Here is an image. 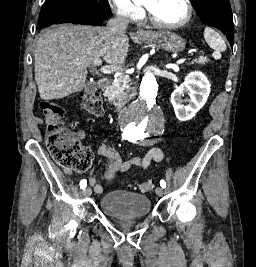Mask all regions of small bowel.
I'll return each mask as SVG.
<instances>
[{
  "mask_svg": "<svg viewBox=\"0 0 256 267\" xmlns=\"http://www.w3.org/2000/svg\"><path fill=\"white\" fill-rule=\"evenodd\" d=\"M79 140L83 141L84 137L80 136ZM97 154L106 160V165L99 179L96 177H91L90 179V184L96 193H102V183L111 184L115 180L117 173L125 172L132 166L146 169L152 162H161L164 158L163 151L157 147L148 149L141 157H134L127 161H122L119 154L106 144H101L97 147Z\"/></svg>",
  "mask_w": 256,
  "mask_h": 267,
  "instance_id": "c3829d8e",
  "label": "small bowel"
}]
</instances>
